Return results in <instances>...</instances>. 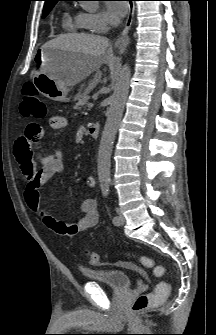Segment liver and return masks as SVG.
<instances>
[{"label": "liver", "mask_w": 216, "mask_h": 335, "mask_svg": "<svg viewBox=\"0 0 216 335\" xmlns=\"http://www.w3.org/2000/svg\"><path fill=\"white\" fill-rule=\"evenodd\" d=\"M109 40L106 37L89 34H65L47 42L43 47L63 49L75 53L69 66L54 78L66 86H74L99 70L102 64H111L112 55L106 50Z\"/></svg>", "instance_id": "liver-1"}]
</instances>
